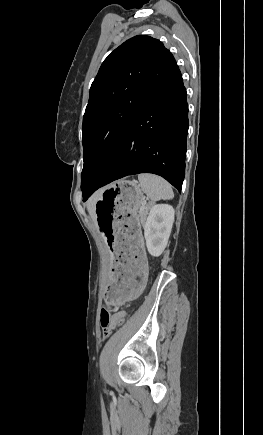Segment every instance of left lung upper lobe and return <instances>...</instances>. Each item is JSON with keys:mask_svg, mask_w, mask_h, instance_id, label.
Returning a JSON list of instances; mask_svg holds the SVG:
<instances>
[{"mask_svg": "<svg viewBox=\"0 0 263 435\" xmlns=\"http://www.w3.org/2000/svg\"><path fill=\"white\" fill-rule=\"evenodd\" d=\"M178 69L163 43L146 35L130 38L104 60L83 117V195L110 161L131 122Z\"/></svg>", "mask_w": 263, "mask_h": 435, "instance_id": "5c2ea615", "label": "left lung upper lobe"}]
</instances>
